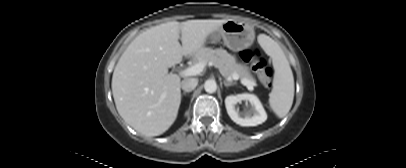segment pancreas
Returning <instances> with one entry per match:
<instances>
[{
	"instance_id": "pancreas-1",
	"label": "pancreas",
	"mask_w": 406,
	"mask_h": 168,
	"mask_svg": "<svg viewBox=\"0 0 406 168\" xmlns=\"http://www.w3.org/2000/svg\"><path fill=\"white\" fill-rule=\"evenodd\" d=\"M196 60L206 64L211 63L214 67L219 69L225 78L237 74L241 81L247 80L252 84H256V80L249 68L241 63H237L236 59L224 49H208L205 53L197 56Z\"/></svg>"
}]
</instances>
